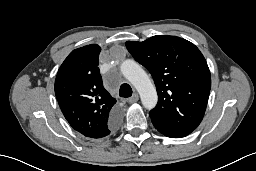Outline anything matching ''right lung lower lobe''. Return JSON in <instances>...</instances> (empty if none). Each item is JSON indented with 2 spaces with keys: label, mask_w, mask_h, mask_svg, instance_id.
<instances>
[{
  "label": "right lung lower lobe",
  "mask_w": 256,
  "mask_h": 171,
  "mask_svg": "<svg viewBox=\"0 0 256 171\" xmlns=\"http://www.w3.org/2000/svg\"><path fill=\"white\" fill-rule=\"evenodd\" d=\"M119 122H120V112L117 110V111L113 112V114L111 115V117L109 119V122H108L109 130L110 131L115 130L116 127L118 126Z\"/></svg>",
  "instance_id": "98d812e1"
}]
</instances>
